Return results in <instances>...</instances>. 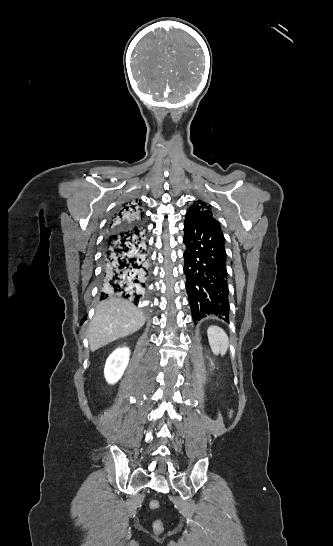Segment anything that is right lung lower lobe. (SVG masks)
Wrapping results in <instances>:
<instances>
[{"mask_svg":"<svg viewBox=\"0 0 333 546\" xmlns=\"http://www.w3.org/2000/svg\"><path fill=\"white\" fill-rule=\"evenodd\" d=\"M101 297L119 293L136 303L145 294L149 256L143 227L108 231L104 240Z\"/></svg>","mask_w":333,"mask_h":546,"instance_id":"obj_1","label":"right lung lower lobe"}]
</instances>
